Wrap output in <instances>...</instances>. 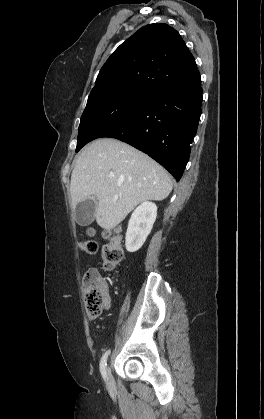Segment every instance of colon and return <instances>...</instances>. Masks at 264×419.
<instances>
[{
    "label": "colon",
    "mask_w": 264,
    "mask_h": 419,
    "mask_svg": "<svg viewBox=\"0 0 264 419\" xmlns=\"http://www.w3.org/2000/svg\"><path fill=\"white\" fill-rule=\"evenodd\" d=\"M109 242L102 249L103 265L105 269H112L118 265L124 257L120 237L117 232L108 234ZM81 248L88 254L97 251V244L88 240L81 244ZM83 291L87 315L91 320L98 318L108 299V284L96 271H88L83 279Z\"/></svg>",
    "instance_id": "5ec220e1"
}]
</instances>
